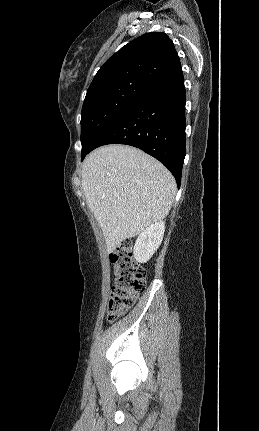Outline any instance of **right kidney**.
Wrapping results in <instances>:
<instances>
[{"label": "right kidney", "instance_id": "right-kidney-1", "mask_svg": "<svg viewBox=\"0 0 259 431\" xmlns=\"http://www.w3.org/2000/svg\"><path fill=\"white\" fill-rule=\"evenodd\" d=\"M165 232V222L158 221L143 230L134 246V257L137 262H147L160 246Z\"/></svg>", "mask_w": 259, "mask_h": 431}]
</instances>
